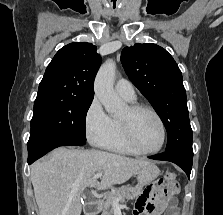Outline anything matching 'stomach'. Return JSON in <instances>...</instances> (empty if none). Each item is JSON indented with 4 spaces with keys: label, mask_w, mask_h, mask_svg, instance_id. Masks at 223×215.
Instances as JSON below:
<instances>
[{
    "label": "stomach",
    "mask_w": 223,
    "mask_h": 215,
    "mask_svg": "<svg viewBox=\"0 0 223 215\" xmlns=\"http://www.w3.org/2000/svg\"><path fill=\"white\" fill-rule=\"evenodd\" d=\"M138 179V183H142L147 185V183H151L153 179H156L160 173V169H158L155 163H147V165H143L140 169L135 171Z\"/></svg>",
    "instance_id": "1"
}]
</instances>
